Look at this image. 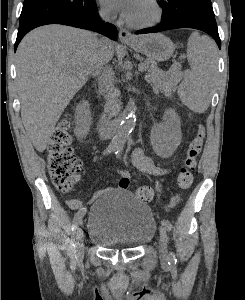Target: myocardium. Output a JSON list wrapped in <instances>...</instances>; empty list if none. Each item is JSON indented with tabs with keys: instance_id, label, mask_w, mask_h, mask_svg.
<instances>
[{
	"instance_id": "1",
	"label": "myocardium",
	"mask_w": 245,
	"mask_h": 300,
	"mask_svg": "<svg viewBox=\"0 0 245 300\" xmlns=\"http://www.w3.org/2000/svg\"><path fill=\"white\" fill-rule=\"evenodd\" d=\"M148 2L151 4V6L153 7V9L155 11V15H154L153 19L148 22H143V23L132 22V21L125 19V22L129 27L135 28V29H146V28L153 27V26L157 25L158 23H160V21L162 20V17H163V10H162L160 3L158 2V0H148Z\"/></svg>"
}]
</instances>
